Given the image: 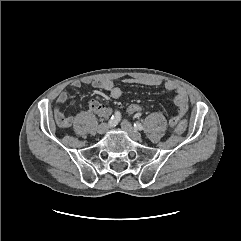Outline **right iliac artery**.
I'll list each match as a JSON object with an SVG mask.
<instances>
[{"label":"right iliac artery","mask_w":241,"mask_h":241,"mask_svg":"<svg viewBox=\"0 0 241 241\" xmlns=\"http://www.w3.org/2000/svg\"><path fill=\"white\" fill-rule=\"evenodd\" d=\"M120 118H121L120 112L115 111L114 115H112L110 120H109V126L110 127L116 126V124H118V122L120 121Z\"/></svg>","instance_id":"82829eb1"}]
</instances>
